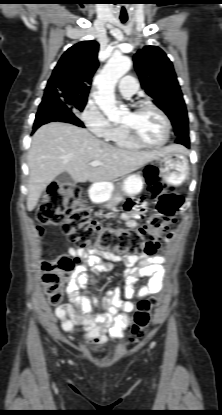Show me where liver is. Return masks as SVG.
<instances>
[{
	"mask_svg": "<svg viewBox=\"0 0 222 415\" xmlns=\"http://www.w3.org/2000/svg\"><path fill=\"white\" fill-rule=\"evenodd\" d=\"M170 152H185L181 145L137 151L114 147L86 129L61 122L41 126L28 152L27 209L32 211L47 186L62 172L76 182H108L138 170ZM102 163L93 167L89 163Z\"/></svg>",
	"mask_w": 222,
	"mask_h": 415,
	"instance_id": "obj_1",
	"label": "liver"
}]
</instances>
